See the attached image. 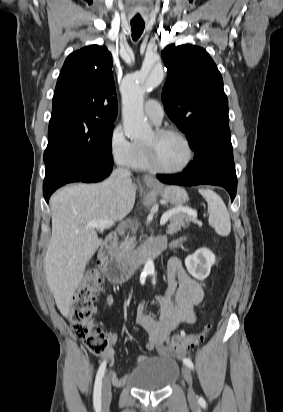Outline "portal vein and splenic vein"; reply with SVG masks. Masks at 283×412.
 <instances>
[{
	"label": "portal vein and splenic vein",
	"mask_w": 283,
	"mask_h": 412,
	"mask_svg": "<svg viewBox=\"0 0 283 412\" xmlns=\"http://www.w3.org/2000/svg\"><path fill=\"white\" fill-rule=\"evenodd\" d=\"M179 212L187 213V214H189L193 217H197V213L193 209H191L189 207H177V208L172 209V210L166 212L165 214H163L162 217H161V220H160V224L165 225L167 223L168 219L172 215H174L176 213H179ZM113 225H114V221H112V220L100 219V220H97V221L88 222L86 224V227L87 228H97L99 230H104V229H107L109 227H112Z\"/></svg>",
	"instance_id": "portal-vein-and-splenic-vein-1"
}]
</instances>
